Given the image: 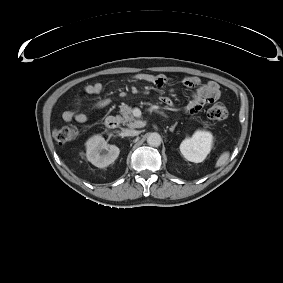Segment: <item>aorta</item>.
<instances>
[{
	"mask_svg": "<svg viewBox=\"0 0 283 283\" xmlns=\"http://www.w3.org/2000/svg\"><path fill=\"white\" fill-rule=\"evenodd\" d=\"M161 142H162V138L159 133L157 132L149 133L147 137L148 145L153 147H158L161 145Z\"/></svg>",
	"mask_w": 283,
	"mask_h": 283,
	"instance_id": "aorta-1",
	"label": "aorta"
}]
</instances>
